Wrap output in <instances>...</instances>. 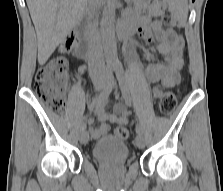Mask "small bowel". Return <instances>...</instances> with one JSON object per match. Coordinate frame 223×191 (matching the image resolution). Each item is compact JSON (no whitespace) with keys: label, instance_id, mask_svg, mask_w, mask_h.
<instances>
[{"label":"small bowel","instance_id":"c3829d8e","mask_svg":"<svg viewBox=\"0 0 223 191\" xmlns=\"http://www.w3.org/2000/svg\"><path fill=\"white\" fill-rule=\"evenodd\" d=\"M154 13H158L157 6L152 8ZM130 33H137L145 41H157V50L163 56L161 63H151L147 66V79L154 83L153 94L160 97L163 88H175L181 82V69L183 67L184 39L181 35L171 29H164L160 21L156 19H146L137 21L133 19L125 25ZM79 53V52H78ZM80 55V54H79ZM85 68L81 70L83 73ZM107 99L99 102L93 109L97 115L99 125L94 126V119L85 117L83 124L89 127L92 138L98 139L105 136L113 123L125 125L129 121L130 111L124 103L112 104V113H107Z\"/></svg>","mask_w":223,"mask_h":191}]
</instances>
